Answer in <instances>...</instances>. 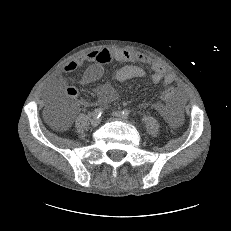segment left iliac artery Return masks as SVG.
<instances>
[{
  "instance_id": "44dca946",
  "label": "left iliac artery",
  "mask_w": 231,
  "mask_h": 231,
  "mask_svg": "<svg viewBox=\"0 0 231 231\" xmlns=\"http://www.w3.org/2000/svg\"><path fill=\"white\" fill-rule=\"evenodd\" d=\"M129 114H130V111H129L128 109H124V110L122 111V115H123L124 117H128Z\"/></svg>"
}]
</instances>
